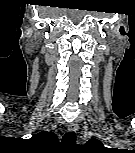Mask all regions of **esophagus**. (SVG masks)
<instances>
[{"label":"esophagus","instance_id":"1","mask_svg":"<svg viewBox=\"0 0 135 153\" xmlns=\"http://www.w3.org/2000/svg\"><path fill=\"white\" fill-rule=\"evenodd\" d=\"M68 130L69 131H73V132H76L78 130V125L76 123H70L68 125Z\"/></svg>","mask_w":135,"mask_h":153}]
</instances>
